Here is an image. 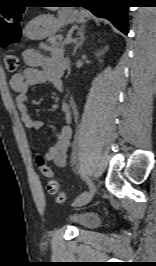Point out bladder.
I'll use <instances>...</instances> for the list:
<instances>
[{
	"label": "bladder",
	"mask_w": 156,
	"mask_h": 266,
	"mask_svg": "<svg viewBox=\"0 0 156 266\" xmlns=\"http://www.w3.org/2000/svg\"><path fill=\"white\" fill-rule=\"evenodd\" d=\"M69 220L78 228L90 229L98 226L99 217L90 212L72 213Z\"/></svg>",
	"instance_id": "obj_1"
}]
</instances>
